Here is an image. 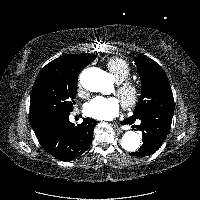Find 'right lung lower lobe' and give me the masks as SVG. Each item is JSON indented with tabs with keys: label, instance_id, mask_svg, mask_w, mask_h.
<instances>
[{
	"label": "right lung lower lobe",
	"instance_id": "obj_1",
	"mask_svg": "<svg viewBox=\"0 0 200 200\" xmlns=\"http://www.w3.org/2000/svg\"><path fill=\"white\" fill-rule=\"evenodd\" d=\"M71 111L29 114L31 126L39 143L52 156L71 161L84 153L93 138L96 121L84 118L77 126L69 121Z\"/></svg>",
	"mask_w": 200,
	"mask_h": 200
}]
</instances>
